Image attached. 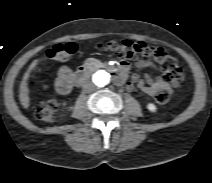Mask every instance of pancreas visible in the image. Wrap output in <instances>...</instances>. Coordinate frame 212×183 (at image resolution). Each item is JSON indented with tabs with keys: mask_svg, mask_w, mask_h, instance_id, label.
Wrapping results in <instances>:
<instances>
[{
	"mask_svg": "<svg viewBox=\"0 0 212 183\" xmlns=\"http://www.w3.org/2000/svg\"><path fill=\"white\" fill-rule=\"evenodd\" d=\"M94 62H96V59H88L87 60V63H94Z\"/></svg>",
	"mask_w": 212,
	"mask_h": 183,
	"instance_id": "1",
	"label": "pancreas"
}]
</instances>
